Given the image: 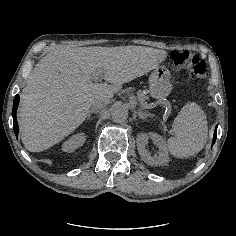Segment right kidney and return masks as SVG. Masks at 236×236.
Segmentation results:
<instances>
[{
	"label": "right kidney",
	"instance_id": "ca27d5eb",
	"mask_svg": "<svg viewBox=\"0 0 236 236\" xmlns=\"http://www.w3.org/2000/svg\"><path fill=\"white\" fill-rule=\"evenodd\" d=\"M86 141V135L84 133H77L72 135L67 141L62 144V151L74 152L81 147Z\"/></svg>",
	"mask_w": 236,
	"mask_h": 236
}]
</instances>
